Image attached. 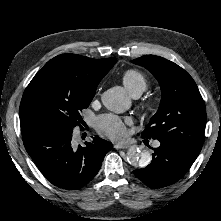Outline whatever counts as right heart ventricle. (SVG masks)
<instances>
[{"mask_svg": "<svg viewBox=\"0 0 221 221\" xmlns=\"http://www.w3.org/2000/svg\"><path fill=\"white\" fill-rule=\"evenodd\" d=\"M122 81L130 94L139 92L140 94L146 90L148 82L147 78L140 71L135 69L127 70L123 73Z\"/></svg>", "mask_w": 221, "mask_h": 221, "instance_id": "1", "label": "right heart ventricle"}]
</instances>
